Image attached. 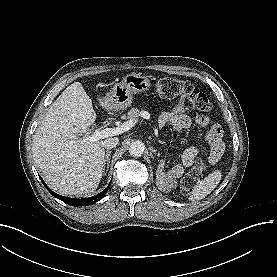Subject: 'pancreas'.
Returning <instances> with one entry per match:
<instances>
[{
  "label": "pancreas",
  "instance_id": "cf45deb5",
  "mask_svg": "<svg viewBox=\"0 0 277 277\" xmlns=\"http://www.w3.org/2000/svg\"><path fill=\"white\" fill-rule=\"evenodd\" d=\"M141 112L142 111L138 108H131L127 113V118L128 119L136 118L140 115Z\"/></svg>",
  "mask_w": 277,
  "mask_h": 277
}]
</instances>
